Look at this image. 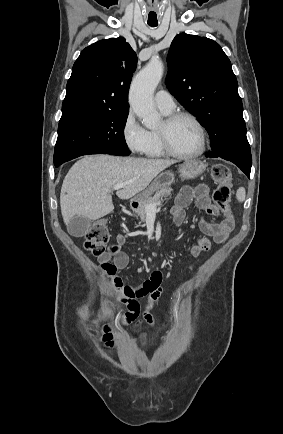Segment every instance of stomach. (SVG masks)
Listing matches in <instances>:
<instances>
[{
	"instance_id": "0dacf381",
	"label": "stomach",
	"mask_w": 283,
	"mask_h": 434,
	"mask_svg": "<svg viewBox=\"0 0 283 434\" xmlns=\"http://www.w3.org/2000/svg\"><path fill=\"white\" fill-rule=\"evenodd\" d=\"M206 165L201 161H187L179 166L181 178L185 180L194 179L204 172ZM174 181V174L170 171L159 174L152 184L142 193L133 198V202L139 206L144 204L150 196L158 190L169 187Z\"/></svg>"
}]
</instances>
